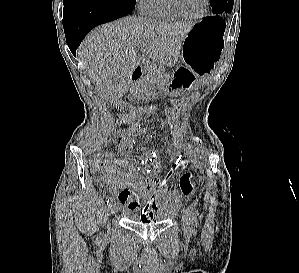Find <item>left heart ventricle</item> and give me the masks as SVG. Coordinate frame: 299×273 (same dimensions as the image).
Segmentation results:
<instances>
[{
    "mask_svg": "<svg viewBox=\"0 0 299 273\" xmlns=\"http://www.w3.org/2000/svg\"><path fill=\"white\" fill-rule=\"evenodd\" d=\"M183 10L191 15H196L204 8L205 0H179Z\"/></svg>",
    "mask_w": 299,
    "mask_h": 273,
    "instance_id": "1",
    "label": "left heart ventricle"
}]
</instances>
